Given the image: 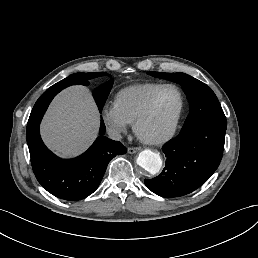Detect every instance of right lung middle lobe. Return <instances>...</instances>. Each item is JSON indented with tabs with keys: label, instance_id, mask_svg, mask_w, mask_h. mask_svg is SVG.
<instances>
[{
	"label": "right lung middle lobe",
	"instance_id": "dd1d6c3e",
	"mask_svg": "<svg viewBox=\"0 0 258 258\" xmlns=\"http://www.w3.org/2000/svg\"><path fill=\"white\" fill-rule=\"evenodd\" d=\"M72 75L90 80V79H93V78H96L99 76H103V75H107V74L105 72H98V73H75ZM112 84H113V81L110 80V81L104 83L103 85L99 86L98 88H96L94 90L95 92H93V96H94V99L96 101V104L98 106L100 113L102 112L104 103H105V101L109 95V92L112 88Z\"/></svg>",
	"mask_w": 258,
	"mask_h": 258
}]
</instances>
